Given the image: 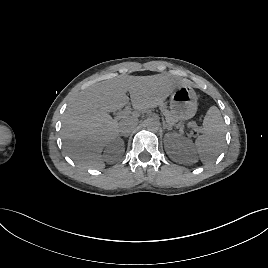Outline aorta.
<instances>
[{
    "mask_svg": "<svg viewBox=\"0 0 268 268\" xmlns=\"http://www.w3.org/2000/svg\"><path fill=\"white\" fill-rule=\"evenodd\" d=\"M146 127L149 131L157 132L160 129V122L157 119L150 118L146 121Z\"/></svg>",
    "mask_w": 268,
    "mask_h": 268,
    "instance_id": "1",
    "label": "aorta"
}]
</instances>
